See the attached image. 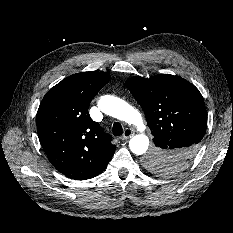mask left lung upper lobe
I'll use <instances>...</instances> for the list:
<instances>
[{"mask_svg": "<svg viewBox=\"0 0 233 233\" xmlns=\"http://www.w3.org/2000/svg\"><path fill=\"white\" fill-rule=\"evenodd\" d=\"M126 85L142 107L154 137L163 134L181 135L192 140L196 154L206 132L207 112L203 97L194 85L170 74H160L149 79L135 76ZM171 156L155 144L143 163L154 173L168 175L181 171L191 161L181 167L167 161Z\"/></svg>", "mask_w": 233, "mask_h": 233, "instance_id": "1", "label": "left lung upper lobe"}]
</instances>
